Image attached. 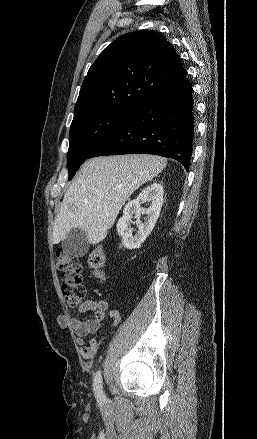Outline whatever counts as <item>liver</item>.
I'll use <instances>...</instances> for the list:
<instances>
[{
    "label": "liver",
    "instance_id": "liver-1",
    "mask_svg": "<svg viewBox=\"0 0 257 439\" xmlns=\"http://www.w3.org/2000/svg\"><path fill=\"white\" fill-rule=\"evenodd\" d=\"M166 161L149 154L87 160L64 195L54 222L53 244L63 241L75 228L86 232L89 244L103 241L131 194L157 176Z\"/></svg>",
    "mask_w": 257,
    "mask_h": 439
}]
</instances>
